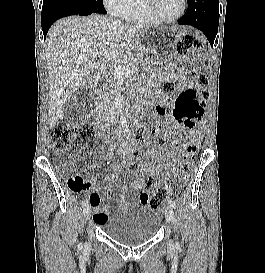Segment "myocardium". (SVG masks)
I'll use <instances>...</instances> for the list:
<instances>
[{
    "label": "myocardium",
    "instance_id": "1",
    "mask_svg": "<svg viewBox=\"0 0 265 273\" xmlns=\"http://www.w3.org/2000/svg\"><path fill=\"white\" fill-rule=\"evenodd\" d=\"M154 3H155V0H144V6H145L147 13L151 17V19L155 23H158V24L173 23V22L178 21L179 19H181L185 15V13L187 11V6H188L187 0H182V8H181V11L178 15H176L175 17H172V18H163V17H160L156 13V11L154 9Z\"/></svg>",
    "mask_w": 265,
    "mask_h": 273
}]
</instances>
